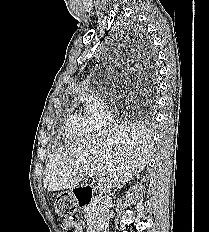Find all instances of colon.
<instances>
[{
    "label": "colon",
    "instance_id": "colon-1",
    "mask_svg": "<svg viewBox=\"0 0 209 232\" xmlns=\"http://www.w3.org/2000/svg\"><path fill=\"white\" fill-rule=\"evenodd\" d=\"M75 222H77V221H66V223L64 224V227L67 230V232H72L71 225Z\"/></svg>",
    "mask_w": 209,
    "mask_h": 232
}]
</instances>
